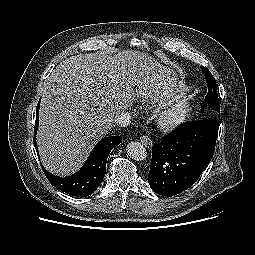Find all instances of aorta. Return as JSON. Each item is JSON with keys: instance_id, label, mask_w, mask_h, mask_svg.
I'll return each instance as SVG.
<instances>
[{"instance_id": "1", "label": "aorta", "mask_w": 255, "mask_h": 255, "mask_svg": "<svg viewBox=\"0 0 255 255\" xmlns=\"http://www.w3.org/2000/svg\"><path fill=\"white\" fill-rule=\"evenodd\" d=\"M126 150L128 155L134 160L142 161L147 157L146 149L140 142H130Z\"/></svg>"}]
</instances>
